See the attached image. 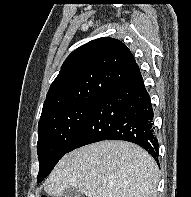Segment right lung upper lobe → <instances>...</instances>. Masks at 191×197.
Wrapping results in <instances>:
<instances>
[{
    "instance_id": "obj_1",
    "label": "right lung upper lobe",
    "mask_w": 191,
    "mask_h": 197,
    "mask_svg": "<svg viewBox=\"0 0 191 197\" xmlns=\"http://www.w3.org/2000/svg\"><path fill=\"white\" fill-rule=\"evenodd\" d=\"M140 74L130 50L102 37L73 51L51 84L40 120L80 104L97 102L114 85Z\"/></svg>"
}]
</instances>
